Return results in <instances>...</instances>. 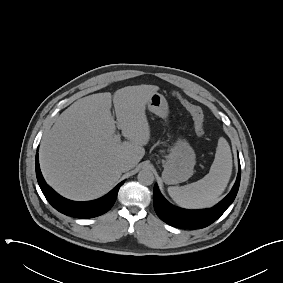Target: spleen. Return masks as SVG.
Returning a JSON list of instances; mask_svg holds the SVG:
<instances>
[{
	"instance_id": "1",
	"label": "spleen",
	"mask_w": 283,
	"mask_h": 283,
	"mask_svg": "<svg viewBox=\"0 0 283 283\" xmlns=\"http://www.w3.org/2000/svg\"><path fill=\"white\" fill-rule=\"evenodd\" d=\"M232 173V154L225 138L218 140L215 159L210 171L197 182L168 187V193L173 201L183 208L200 209L215 205L230 180Z\"/></svg>"
}]
</instances>
